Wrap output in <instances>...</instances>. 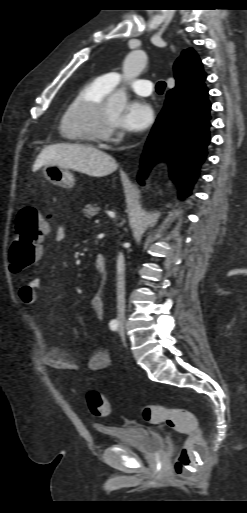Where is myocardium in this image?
Wrapping results in <instances>:
<instances>
[{
    "mask_svg": "<svg viewBox=\"0 0 247 513\" xmlns=\"http://www.w3.org/2000/svg\"><path fill=\"white\" fill-rule=\"evenodd\" d=\"M106 101L91 103L76 111L67 124L68 130L91 142H107L114 134L115 122L106 118Z\"/></svg>",
    "mask_w": 247,
    "mask_h": 513,
    "instance_id": "obj_1",
    "label": "myocardium"
}]
</instances>
